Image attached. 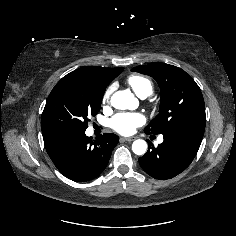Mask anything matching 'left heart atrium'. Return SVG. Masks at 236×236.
I'll return each mask as SVG.
<instances>
[{
  "label": "left heart atrium",
  "instance_id": "left-heart-atrium-1",
  "mask_svg": "<svg viewBox=\"0 0 236 236\" xmlns=\"http://www.w3.org/2000/svg\"><path fill=\"white\" fill-rule=\"evenodd\" d=\"M145 123V117L141 113L121 112L110 120L111 128L122 135L132 134L136 128Z\"/></svg>",
  "mask_w": 236,
  "mask_h": 236
}]
</instances>
